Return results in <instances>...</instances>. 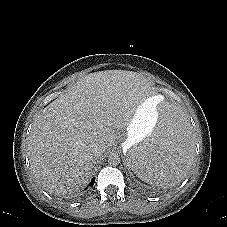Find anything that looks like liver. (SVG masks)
<instances>
[{
    "label": "liver",
    "instance_id": "1",
    "mask_svg": "<svg viewBox=\"0 0 227 227\" xmlns=\"http://www.w3.org/2000/svg\"><path fill=\"white\" fill-rule=\"evenodd\" d=\"M146 96L140 74L106 70L85 76L45 107L28 137L30 166L43 187L58 195L86 187ZM98 144H105L100 152Z\"/></svg>",
    "mask_w": 227,
    "mask_h": 227
}]
</instances>
